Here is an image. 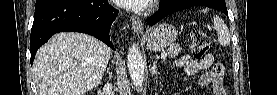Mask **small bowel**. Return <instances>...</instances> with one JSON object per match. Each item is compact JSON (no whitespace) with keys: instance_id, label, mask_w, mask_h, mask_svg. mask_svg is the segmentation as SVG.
<instances>
[{"instance_id":"small-bowel-1","label":"small bowel","mask_w":277,"mask_h":95,"mask_svg":"<svg viewBox=\"0 0 277 95\" xmlns=\"http://www.w3.org/2000/svg\"><path fill=\"white\" fill-rule=\"evenodd\" d=\"M176 64L189 75L200 73L201 84H211L213 94L226 95L222 82L223 67L215 64L213 55L206 54L200 60L193 59L190 55H184L177 59Z\"/></svg>"}]
</instances>
